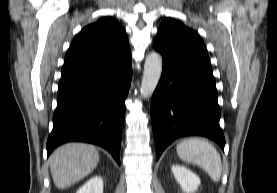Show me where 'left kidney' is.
Instances as JSON below:
<instances>
[{
    "mask_svg": "<svg viewBox=\"0 0 277 193\" xmlns=\"http://www.w3.org/2000/svg\"><path fill=\"white\" fill-rule=\"evenodd\" d=\"M171 170L184 192L194 193L198 189L200 178L191 170L178 164H173Z\"/></svg>",
    "mask_w": 277,
    "mask_h": 193,
    "instance_id": "obj_1",
    "label": "left kidney"
}]
</instances>
